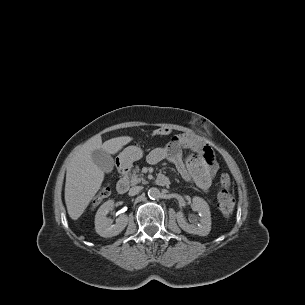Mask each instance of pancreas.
<instances>
[{
	"label": "pancreas",
	"instance_id": "1",
	"mask_svg": "<svg viewBox=\"0 0 305 305\" xmlns=\"http://www.w3.org/2000/svg\"><path fill=\"white\" fill-rule=\"evenodd\" d=\"M125 180L127 182L130 183L131 186H134L136 184H139V183H145V179L143 178V174H139V168L136 167L133 171H132V174H129Z\"/></svg>",
	"mask_w": 305,
	"mask_h": 305
}]
</instances>
